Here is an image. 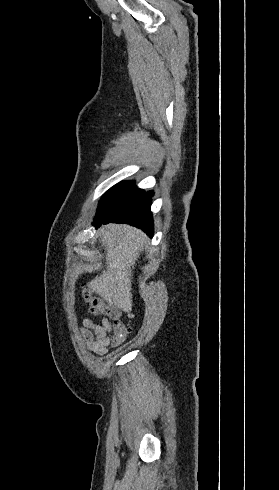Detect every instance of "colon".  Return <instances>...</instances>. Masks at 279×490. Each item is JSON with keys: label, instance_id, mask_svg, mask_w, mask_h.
<instances>
[{"label": "colon", "instance_id": "5ec220e1", "mask_svg": "<svg viewBox=\"0 0 279 490\" xmlns=\"http://www.w3.org/2000/svg\"><path fill=\"white\" fill-rule=\"evenodd\" d=\"M83 297L89 305L92 315L105 317L112 321V336L116 341L113 342V347H118V342H122L130 331L129 327L124 323L122 312L91 291H84Z\"/></svg>", "mask_w": 279, "mask_h": 490}]
</instances>
